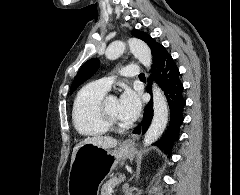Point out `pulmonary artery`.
I'll return each mask as SVG.
<instances>
[{
    "label": "pulmonary artery",
    "mask_w": 240,
    "mask_h": 195,
    "mask_svg": "<svg viewBox=\"0 0 240 195\" xmlns=\"http://www.w3.org/2000/svg\"><path fill=\"white\" fill-rule=\"evenodd\" d=\"M125 71H121L120 75L121 76H133L134 78L138 77V66L137 65H127L124 67ZM100 83H103V85L105 86V88L110 89L112 83L114 82L113 78H100L99 79Z\"/></svg>",
    "instance_id": "e3ab8cb5"
}]
</instances>
